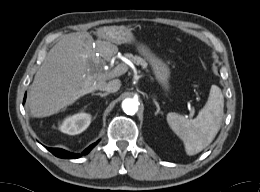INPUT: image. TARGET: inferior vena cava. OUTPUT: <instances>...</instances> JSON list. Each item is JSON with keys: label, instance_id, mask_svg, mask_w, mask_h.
<instances>
[{"label": "inferior vena cava", "instance_id": "inferior-vena-cava-1", "mask_svg": "<svg viewBox=\"0 0 260 192\" xmlns=\"http://www.w3.org/2000/svg\"><path fill=\"white\" fill-rule=\"evenodd\" d=\"M121 81L119 79H114L106 83L104 87H101L100 90L107 91L109 93L117 92L120 89Z\"/></svg>", "mask_w": 260, "mask_h": 192}]
</instances>
